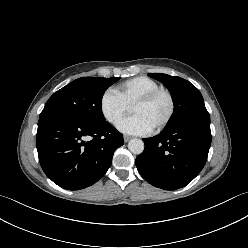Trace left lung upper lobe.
Listing matches in <instances>:
<instances>
[{"label":"left lung upper lobe","mask_w":248,"mask_h":248,"mask_svg":"<svg viewBox=\"0 0 248 248\" xmlns=\"http://www.w3.org/2000/svg\"><path fill=\"white\" fill-rule=\"evenodd\" d=\"M148 75L162 82L173 99L174 112L164 129L171 128L196 115L208 113L200 91L189 81L162 73Z\"/></svg>","instance_id":"left-lung-upper-lobe-1"}]
</instances>
